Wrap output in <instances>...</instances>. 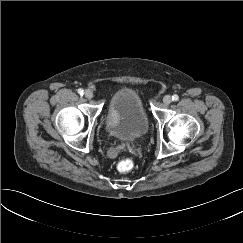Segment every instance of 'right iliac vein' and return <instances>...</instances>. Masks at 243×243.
Masks as SVG:
<instances>
[{
    "label": "right iliac vein",
    "mask_w": 243,
    "mask_h": 243,
    "mask_svg": "<svg viewBox=\"0 0 243 243\" xmlns=\"http://www.w3.org/2000/svg\"><path fill=\"white\" fill-rule=\"evenodd\" d=\"M84 96L87 99H91L93 97V92L91 90H86L85 93H84Z\"/></svg>",
    "instance_id": "right-iliac-vein-1"
}]
</instances>
